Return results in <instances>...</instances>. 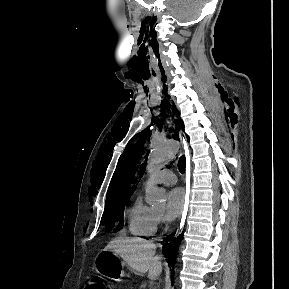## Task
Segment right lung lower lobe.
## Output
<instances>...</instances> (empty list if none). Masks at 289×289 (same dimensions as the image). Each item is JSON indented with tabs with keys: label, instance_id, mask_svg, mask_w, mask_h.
<instances>
[{
	"label": "right lung lower lobe",
	"instance_id": "1",
	"mask_svg": "<svg viewBox=\"0 0 289 289\" xmlns=\"http://www.w3.org/2000/svg\"><path fill=\"white\" fill-rule=\"evenodd\" d=\"M174 234L169 235V238L166 241V244L163 246L165 251V257H167L168 264L173 268L175 265L176 254L179 249L181 238L180 236L177 239L174 237Z\"/></svg>",
	"mask_w": 289,
	"mask_h": 289
}]
</instances>
